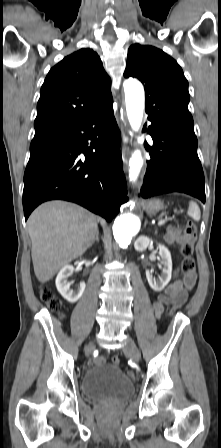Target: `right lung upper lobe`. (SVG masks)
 Instances as JSON below:
<instances>
[{
  "label": "right lung upper lobe",
  "mask_w": 221,
  "mask_h": 448,
  "mask_svg": "<svg viewBox=\"0 0 221 448\" xmlns=\"http://www.w3.org/2000/svg\"><path fill=\"white\" fill-rule=\"evenodd\" d=\"M112 101L110 78L100 57L83 48L65 57L46 76L34 122L39 137Z\"/></svg>",
  "instance_id": "cb5924a9"
}]
</instances>
